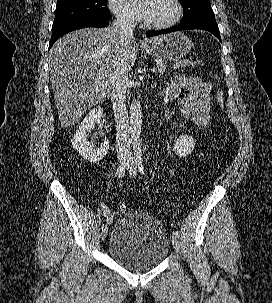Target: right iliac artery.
Returning a JSON list of instances; mask_svg holds the SVG:
<instances>
[{
    "label": "right iliac artery",
    "mask_w": 272,
    "mask_h": 303,
    "mask_svg": "<svg viewBox=\"0 0 272 303\" xmlns=\"http://www.w3.org/2000/svg\"><path fill=\"white\" fill-rule=\"evenodd\" d=\"M124 174H125V165L119 166L118 169H117V176L119 178H122L124 176ZM105 228H107V225L103 224L102 225V230L105 229Z\"/></svg>",
    "instance_id": "1"
}]
</instances>
